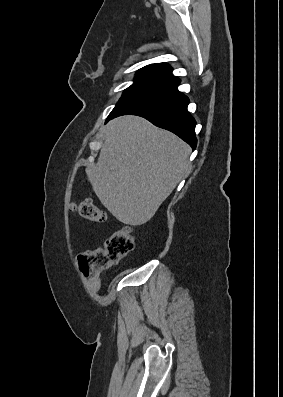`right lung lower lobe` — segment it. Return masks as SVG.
Instances as JSON below:
<instances>
[{
  "label": "right lung lower lobe",
  "mask_w": 283,
  "mask_h": 397,
  "mask_svg": "<svg viewBox=\"0 0 283 397\" xmlns=\"http://www.w3.org/2000/svg\"><path fill=\"white\" fill-rule=\"evenodd\" d=\"M178 85L179 83L171 85L143 98L127 106L110 119L127 114L144 117L154 125L175 133L194 150L197 145L196 121L187 111L189 99L178 91Z\"/></svg>",
  "instance_id": "right-lung-lower-lobe-1"
}]
</instances>
